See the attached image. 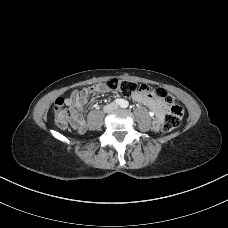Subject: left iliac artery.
Masks as SVG:
<instances>
[{
	"instance_id": "1",
	"label": "left iliac artery",
	"mask_w": 228,
	"mask_h": 228,
	"mask_svg": "<svg viewBox=\"0 0 228 228\" xmlns=\"http://www.w3.org/2000/svg\"><path fill=\"white\" fill-rule=\"evenodd\" d=\"M127 106H128L127 101H123V103L121 104V107L126 108Z\"/></svg>"
}]
</instances>
